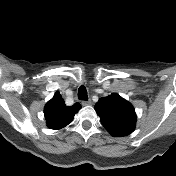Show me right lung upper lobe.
Instances as JSON below:
<instances>
[{
    "mask_svg": "<svg viewBox=\"0 0 176 176\" xmlns=\"http://www.w3.org/2000/svg\"><path fill=\"white\" fill-rule=\"evenodd\" d=\"M80 108L81 105L79 103H75L71 107L66 106L60 93L56 92L44 108L48 127L58 130L67 126Z\"/></svg>",
    "mask_w": 176,
    "mask_h": 176,
    "instance_id": "1",
    "label": "right lung upper lobe"
}]
</instances>
